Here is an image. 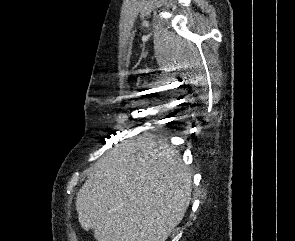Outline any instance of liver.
I'll list each match as a JSON object with an SVG mask.
<instances>
[{"mask_svg": "<svg viewBox=\"0 0 295 241\" xmlns=\"http://www.w3.org/2000/svg\"><path fill=\"white\" fill-rule=\"evenodd\" d=\"M191 193L192 173L176 148L137 136L95 164L76 210L81 227L97 241H166Z\"/></svg>", "mask_w": 295, "mask_h": 241, "instance_id": "6515ba94", "label": "liver"}]
</instances>
